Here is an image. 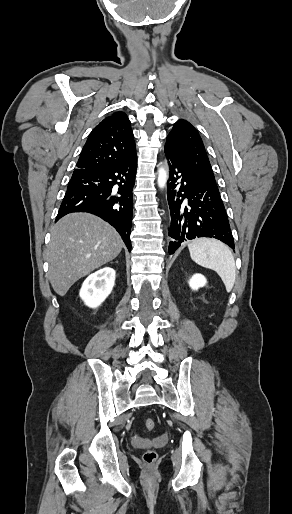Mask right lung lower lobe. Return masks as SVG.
I'll return each mask as SVG.
<instances>
[{
  "label": "right lung lower lobe",
  "instance_id": "obj_1",
  "mask_svg": "<svg viewBox=\"0 0 292 514\" xmlns=\"http://www.w3.org/2000/svg\"><path fill=\"white\" fill-rule=\"evenodd\" d=\"M137 156L114 166L74 170L56 221L72 212H88L111 224L131 250L130 232Z\"/></svg>",
  "mask_w": 292,
  "mask_h": 514
}]
</instances>
